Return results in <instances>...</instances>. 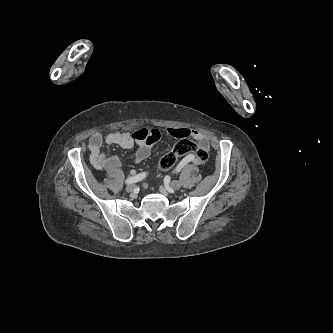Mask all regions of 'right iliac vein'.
<instances>
[{
    "mask_svg": "<svg viewBox=\"0 0 333 333\" xmlns=\"http://www.w3.org/2000/svg\"><path fill=\"white\" fill-rule=\"evenodd\" d=\"M135 186L133 184H130L126 187V191L128 193H132L134 191Z\"/></svg>",
    "mask_w": 333,
    "mask_h": 333,
    "instance_id": "1",
    "label": "right iliac vein"
}]
</instances>
